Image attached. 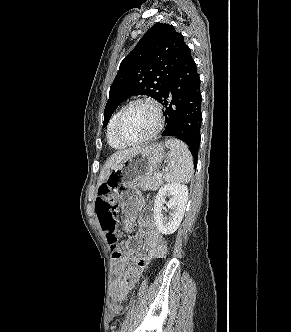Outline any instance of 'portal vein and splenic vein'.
<instances>
[{
    "label": "portal vein and splenic vein",
    "instance_id": "portal-vein-and-splenic-vein-1",
    "mask_svg": "<svg viewBox=\"0 0 291 332\" xmlns=\"http://www.w3.org/2000/svg\"><path fill=\"white\" fill-rule=\"evenodd\" d=\"M156 177L159 179V178H161L162 177V173L161 172H158L157 174H156Z\"/></svg>",
    "mask_w": 291,
    "mask_h": 332
}]
</instances>
